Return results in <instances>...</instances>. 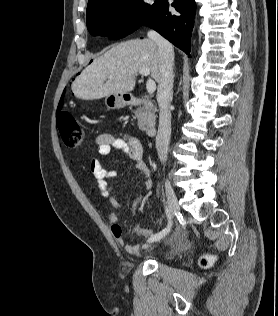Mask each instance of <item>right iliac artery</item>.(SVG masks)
<instances>
[{
  "mask_svg": "<svg viewBox=\"0 0 278 316\" xmlns=\"http://www.w3.org/2000/svg\"><path fill=\"white\" fill-rule=\"evenodd\" d=\"M165 213H166L167 217L169 218L167 227L164 230H162L161 232L151 236L148 240L149 242H154V241L160 240L163 236H165L170 231L171 218H170V214H169V210H168L167 206H165Z\"/></svg>",
  "mask_w": 278,
  "mask_h": 316,
  "instance_id": "obj_1",
  "label": "right iliac artery"
}]
</instances>
